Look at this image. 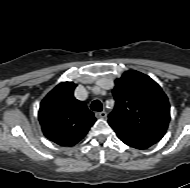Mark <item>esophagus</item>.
<instances>
[{
  "instance_id": "34e87169",
  "label": "esophagus",
  "mask_w": 190,
  "mask_h": 188,
  "mask_svg": "<svg viewBox=\"0 0 190 188\" xmlns=\"http://www.w3.org/2000/svg\"><path fill=\"white\" fill-rule=\"evenodd\" d=\"M95 117H96V118H102V119H104V118L107 117V113H106L105 111L96 112V113H95Z\"/></svg>"
}]
</instances>
